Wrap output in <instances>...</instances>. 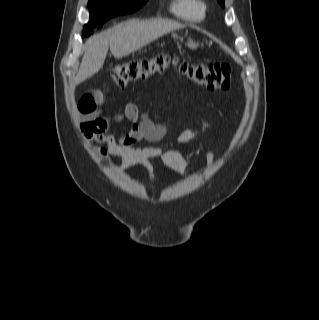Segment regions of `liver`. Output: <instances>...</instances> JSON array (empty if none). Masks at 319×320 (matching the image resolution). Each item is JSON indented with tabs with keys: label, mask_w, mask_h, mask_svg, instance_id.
Here are the masks:
<instances>
[{
	"label": "liver",
	"mask_w": 319,
	"mask_h": 320,
	"mask_svg": "<svg viewBox=\"0 0 319 320\" xmlns=\"http://www.w3.org/2000/svg\"><path fill=\"white\" fill-rule=\"evenodd\" d=\"M183 27L180 23L164 19L146 21L132 19L90 37L85 43L86 50L76 76V83L92 77L102 68L109 48L114 57L122 58Z\"/></svg>",
	"instance_id": "1"
}]
</instances>
